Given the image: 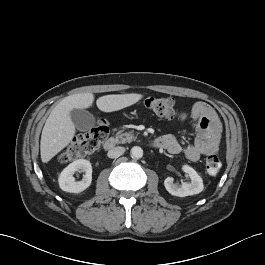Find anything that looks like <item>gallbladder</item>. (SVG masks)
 I'll return each mask as SVG.
<instances>
[{
    "label": "gallbladder",
    "instance_id": "1",
    "mask_svg": "<svg viewBox=\"0 0 265 265\" xmlns=\"http://www.w3.org/2000/svg\"><path fill=\"white\" fill-rule=\"evenodd\" d=\"M70 117L74 126L79 131H88L95 124V117L84 109H73L70 112Z\"/></svg>",
    "mask_w": 265,
    "mask_h": 265
}]
</instances>
